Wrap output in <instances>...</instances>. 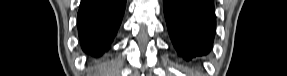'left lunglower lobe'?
I'll list each match as a JSON object with an SVG mask.
<instances>
[{
  "label": "left lung lower lobe",
  "mask_w": 287,
  "mask_h": 76,
  "mask_svg": "<svg viewBox=\"0 0 287 76\" xmlns=\"http://www.w3.org/2000/svg\"><path fill=\"white\" fill-rule=\"evenodd\" d=\"M164 15L179 56L193 61L210 52L216 26L213 0H164Z\"/></svg>",
  "instance_id": "obj_1"
}]
</instances>
